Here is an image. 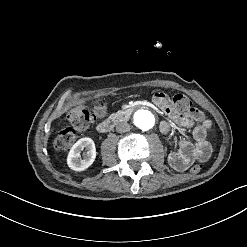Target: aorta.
I'll use <instances>...</instances> for the list:
<instances>
[{"mask_svg":"<svg viewBox=\"0 0 247 247\" xmlns=\"http://www.w3.org/2000/svg\"><path fill=\"white\" fill-rule=\"evenodd\" d=\"M135 123L142 130H149L154 126V116L146 110L135 114Z\"/></svg>","mask_w":247,"mask_h":247,"instance_id":"aorta-1","label":"aorta"}]
</instances>
